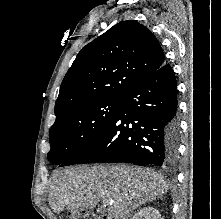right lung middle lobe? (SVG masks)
Returning <instances> with one entry per match:
<instances>
[{
    "mask_svg": "<svg viewBox=\"0 0 221 219\" xmlns=\"http://www.w3.org/2000/svg\"><path fill=\"white\" fill-rule=\"evenodd\" d=\"M121 98H103L78 105L58 118L50 129L48 159L63 164L84 150L106 127Z\"/></svg>",
    "mask_w": 221,
    "mask_h": 219,
    "instance_id": "obj_1",
    "label": "right lung middle lobe"
}]
</instances>
